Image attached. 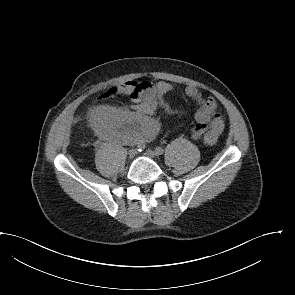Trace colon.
<instances>
[{
    "label": "colon",
    "mask_w": 295,
    "mask_h": 295,
    "mask_svg": "<svg viewBox=\"0 0 295 295\" xmlns=\"http://www.w3.org/2000/svg\"><path fill=\"white\" fill-rule=\"evenodd\" d=\"M116 91H117V89H115V88L110 89L108 92H106L104 95H102L101 98H103V99L110 98L116 93ZM217 137L218 136H216L214 134L206 133L204 135V142L208 145H214L217 142Z\"/></svg>",
    "instance_id": "obj_1"
}]
</instances>
